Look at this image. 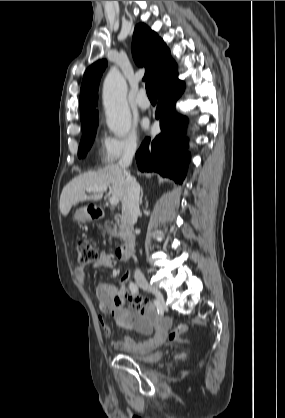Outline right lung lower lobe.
<instances>
[{"label": "right lung lower lobe", "instance_id": "right-lung-lower-lobe-1", "mask_svg": "<svg viewBox=\"0 0 285 418\" xmlns=\"http://www.w3.org/2000/svg\"><path fill=\"white\" fill-rule=\"evenodd\" d=\"M183 91L184 82L176 76L158 92L155 116L160 120L161 133L154 139L146 138L136 153L141 171L158 172L180 184L191 157L186 151L187 139L183 137L188 119L175 110Z\"/></svg>", "mask_w": 285, "mask_h": 418}]
</instances>
